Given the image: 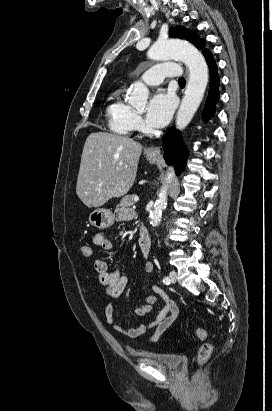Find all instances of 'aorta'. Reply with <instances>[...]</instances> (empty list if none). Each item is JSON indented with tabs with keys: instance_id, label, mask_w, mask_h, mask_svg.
Returning a JSON list of instances; mask_svg holds the SVG:
<instances>
[{
	"instance_id": "762f6f07",
	"label": "aorta",
	"mask_w": 272,
	"mask_h": 411,
	"mask_svg": "<svg viewBox=\"0 0 272 411\" xmlns=\"http://www.w3.org/2000/svg\"><path fill=\"white\" fill-rule=\"evenodd\" d=\"M148 57L157 61L177 58L189 68V81L176 116V127L183 130L190 123L203 99L209 77L207 63L203 55L193 45L176 39L157 41L149 49ZM148 94L147 87L141 82H136L129 88L127 99L135 108H144ZM173 177V171L167 173L165 184L158 193V198L150 214L153 226H157L161 221L162 211L167 205L168 186Z\"/></svg>"
}]
</instances>
